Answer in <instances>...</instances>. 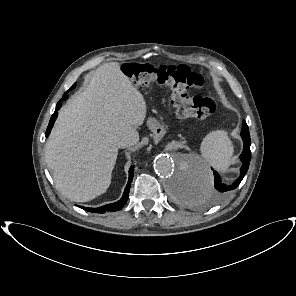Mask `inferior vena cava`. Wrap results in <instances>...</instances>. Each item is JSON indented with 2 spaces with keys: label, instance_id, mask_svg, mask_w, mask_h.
I'll list each match as a JSON object with an SVG mask.
<instances>
[{
  "label": "inferior vena cava",
  "instance_id": "obj_1",
  "mask_svg": "<svg viewBox=\"0 0 296 296\" xmlns=\"http://www.w3.org/2000/svg\"><path fill=\"white\" fill-rule=\"evenodd\" d=\"M132 145H134V142L130 137H123L117 142L118 148H126Z\"/></svg>",
  "mask_w": 296,
  "mask_h": 296
}]
</instances>
